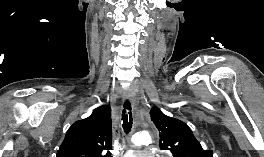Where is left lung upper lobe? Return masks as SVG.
Returning <instances> with one entry per match:
<instances>
[{"label": "left lung upper lobe", "instance_id": "5c2ea615", "mask_svg": "<svg viewBox=\"0 0 264 157\" xmlns=\"http://www.w3.org/2000/svg\"><path fill=\"white\" fill-rule=\"evenodd\" d=\"M151 120L160 132V148L170 150L174 157H213L212 150H204L184 122L164 115L153 107Z\"/></svg>", "mask_w": 264, "mask_h": 157}]
</instances>
